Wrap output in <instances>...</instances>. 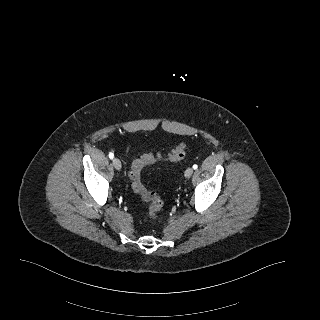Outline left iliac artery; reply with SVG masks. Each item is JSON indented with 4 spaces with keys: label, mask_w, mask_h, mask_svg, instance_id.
<instances>
[{
    "label": "left iliac artery",
    "mask_w": 320,
    "mask_h": 320,
    "mask_svg": "<svg viewBox=\"0 0 320 320\" xmlns=\"http://www.w3.org/2000/svg\"><path fill=\"white\" fill-rule=\"evenodd\" d=\"M193 168H194V169H197V168H198V166L195 164V165H193Z\"/></svg>",
    "instance_id": "44dca946"
}]
</instances>
